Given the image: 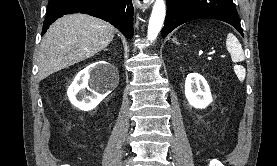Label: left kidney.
Returning a JSON list of instances; mask_svg holds the SVG:
<instances>
[{"mask_svg":"<svg viewBox=\"0 0 277 166\" xmlns=\"http://www.w3.org/2000/svg\"><path fill=\"white\" fill-rule=\"evenodd\" d=\"M185 96L191 106L206 108L212 102V95L207 81L198 73H190L185 81Z\"/></svg>","mask_w":277,"mask_h":166,"instance_id":"5707ae66","label":"left kidney"}]
</instances>
